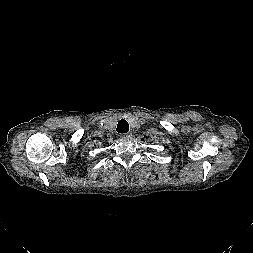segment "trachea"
<instances>
[{
	"label": "trachea",
	"mask_w": 253,
	"mask_h": 253,
	"mask_svg": "<svg viewBox=\"0 0 253 253\" xmlns=\"http://www.w3.org/2000/svg\"><path fill=\"white\" fill-rule=\"evenodd\" d=\"M117 132L127 133L129 131V124L126 120H120L117 125Z\"/></svg>",
	"instance_id": "trachea-1"
}]
</instances>
